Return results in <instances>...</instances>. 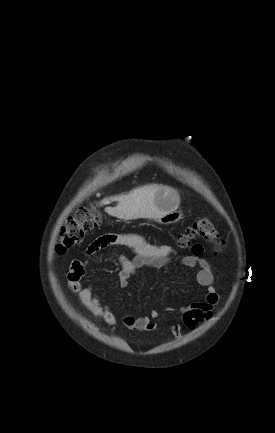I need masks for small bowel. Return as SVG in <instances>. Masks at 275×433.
Wrapping results in <instances>:
<instances>
[{
	"label": "small bowel",
	"mask_w": 275,
	"mask_h": 433,
	"mask_svg": "<svg viewBox=\"0 0 275 433\" xmlns=\"http://www.w3.org/2000/svg\"><path fill=\"white\" fill-rule=\"evenodd\" d=\"M109 246H122L131 250L135 258L129 260L121 254H116L115 259L121 266L119 272V284L121 287H128L130 279L139 268L157 267L165 265L174 255V249L170 245H154L148 243L140 236L128 233H109L96 239L87 248L88 254H95ZM203 247L201 244H194L191 254L182 259V264L189 268H198L195 276L196 283L206 288L203 300L191 303L182 308L183 324L187 329L194 330L199 324L211 319L215 306L219 302V294L213 286L214 275L211 264L202 258ZM86 263L80 259H74L67 275L70 289L78 295L81 303L96 317L100 318L109 326H116L118 319L111 308L101 303L99 297L93 292L89 285H85L83 277ZM160 317L157 310H152L149 316L134 317L125 315L122 317V324L132 331H155V319ZM170 331L175 338L182 336V327L174 324Z\"/></svg>",
	"instance_id": "c3829d8e"
}]
</instances>
